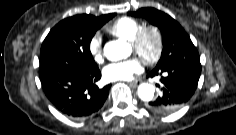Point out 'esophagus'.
<instances>
[{
  "label": "esophagus",
  "mask_w": 236,
  "mask_h": 135,
  "mask_svg": "<svg viewBox=\"0 0 236 135\" xmlns=\"http://www.w3.org/2000/svg\"><path fill=\"white\" fill-rule=\"evenodd\" d=\"M141 83V81L137 80V81H131L129 82V85L133 86V87H137L139 84Z\"/></svg>",
  "instance_id": "1"
}]
</instances>
